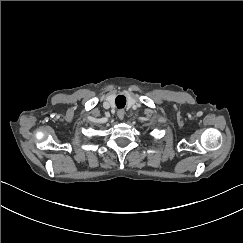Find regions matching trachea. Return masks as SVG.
Masks as SVG:
<instances>
[{
	"label": "trachea",
	"mask_w": 243,
	"mask_h": 243,
	"mask_svg": "<svg viewBox=\"0 0 243 243\" xmlns=\"http://www.w3.org/2000/svg\"><path fill=\"white\" fill-rule=\"evenodd\" d=\"M115 103L118 109L124 108L126 104V98L123 95H119L115 99Z\"/></svg>",
	"instance_id": "trachea-1"
}]
</instances>
